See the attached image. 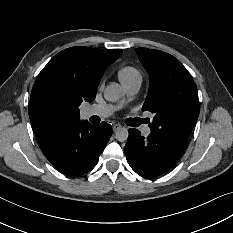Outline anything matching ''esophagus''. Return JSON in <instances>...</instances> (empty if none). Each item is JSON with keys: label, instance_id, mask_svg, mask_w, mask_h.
I'll list each match as a JSON object with an SVG mask.
<instances>
[{"label": "esophagus", "instance_id": "obj_1", "mask_svg": "<svg viewBox=\"0 0 233 233\" xmlns=\"http://www.w3.org/2000/svg\"><path fill=\"white\" fill-rule=\"evenodd\" d=\"M121 127H122L121 124H114V125H113V131H117V130H119Z\"/></svg>", "mask_w": 233, "mask_h": 233}]
</instances>
